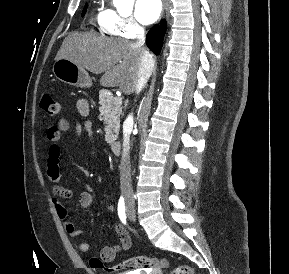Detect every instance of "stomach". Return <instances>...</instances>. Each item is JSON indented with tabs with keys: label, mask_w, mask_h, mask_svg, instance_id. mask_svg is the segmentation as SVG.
Wrapping results in <instances>:
<instances>
[{
	"label": "stomach",
	"mask_w": 289,
	"mask_h": 274,
	"mask_svg": "<svg viewBox=\"0 0 289 274\" xmlns=\"http://www.w3.org/2000/svg\"><path fill=\"white\" fill-rule=\"evenodd\" d=\"M52 72L59 81L66 84L80 88H90L92 86L88 72L68 59L61 58L56 60L53 64Z\"/></svg>",
	"instance_id": "1"
}]
</instances>
